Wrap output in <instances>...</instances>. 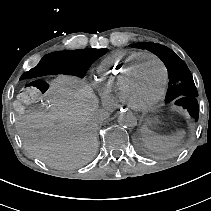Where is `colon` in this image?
Wrapping results in <instances>:
<instances>
[{
	"mask_svg": "<svg viewBox=\"0 0 211 211\" xmlns=\"http://www.w3.org/2000/svg\"><path fill=\"white\" fill-rule=\"evenodd\" d=\"M50 87V80L42 78L24 85L18 92L15 107L19 112L25 111L26 107L38 102L46 94Z\"/></svg>",
	"mask_w": 211,
	"mask_h": 211,
	"instance_id": "colon-1",
	"label": "colon"
}]
</instances>
